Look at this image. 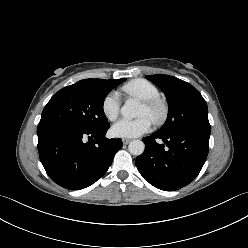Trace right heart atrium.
<instances>
[{
	"label": "right heart atrium",
	"instance_id": "d8ad5b80",
	"mask_svg": "<svg viewBox=\"0 0 248 248\" xmlns=\"http://www.w3.org/2000/svg\"><path fill=\"white\" fill-rule=\"evenodd\" d=\"M121 98L118 92H109L102 101V112L110 120H115L120 112Z\"/></svg>",
	"mask_w": 248,
	"mask_h": 248
}]
</instances>
